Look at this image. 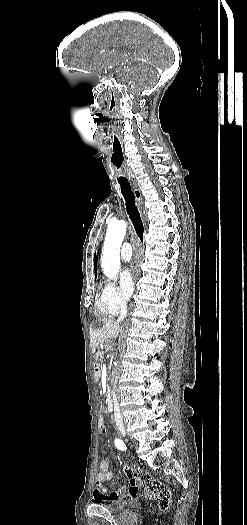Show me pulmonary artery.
Segmentation results:
<instances>
[{
    "label": "pulmonary artery",
    "mask_w": 247,
    "mask_h": 525,
    "mask_svg": "<svg viewBox=\"0 0 247 525\" xmlns=\"http://www.w3.org/2000/svg\"><path fill=\"white\" fill-rule=\"evenodd\" d=\"M121 250H122L121 251L122 255L120 257L121 262L124 263V264L129 263L130 260H131L130 256L132 254V251L130 249V243H128V242L123 243Z\"/></svg>",
    "instance_id": "e3ab8cb5"
}]
</instances>
